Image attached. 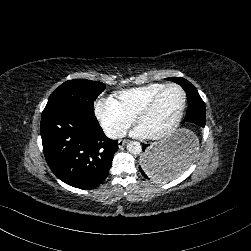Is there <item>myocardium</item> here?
<instances>
[{"instance_id":"myocardium-1","label":"myocardium","mask_w":251,"mask_h":251,"mask_svg":"<svg viewBox=\"0 0 251 251\" xmlns=\"http://www.w3.org/2000/svg\"><path fill=\"white\" fill-rule=\"evenodd\" d=\"M170 88L178 89L183 93V95H184V104H183V107H182V110H181V113H180L178 119L173 124H171L170 126H168V127L164 128V129L160 130L159 132L155 133L154 136L156 138H163V137H166V136L172 134L183 123L186 112H187V109H188V105H189V95H188L187 90L183 86H181L179 84H176V83L166 84L159 91H157L136 113V116L139 119V115L141 113L152 110L154 108V106L156 105V103L158 102V100L160 99V97L162 96V94L166 90H168Z\"/></svg>"}]
</instances>
